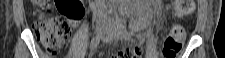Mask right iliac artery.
Returning <instances> with one entry per match:
<instances>
[{"label":"right iliac artery","mask_w":225,"mask_h":58,"mask_svg":"<svg viewBox=\"0 0 225 58\" xmlns=\"http://www.w3.org/2000/svg\"><path fill=\"white\" fill-rule=\"evenodd\" d=\"M100 38H93L90 44L89 58L93 55L94 49L98 46Z\"/></svg>","instance_id":"1"}]
</instances>
